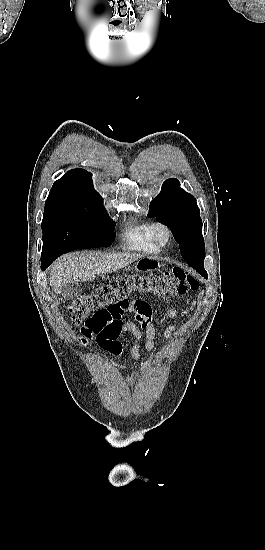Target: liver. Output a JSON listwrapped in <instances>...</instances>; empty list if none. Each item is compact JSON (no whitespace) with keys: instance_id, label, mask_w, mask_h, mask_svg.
Instances as JSON below:
<instances>
[{"instance_id":"obj_1","label":"liver","mask_w":265,"mask_h":550,"mask_svg":"<svg viewBox=\"0 0 265 550\" xmlns=\"http://www.w3.org/2000/svg\"><path fill=\"white\" fill-rule=\"evenodd\" d=\"M135 254H91L71 253L57 261L51 269L50 285L56 294H60L66 283L92 281L95 275L108 274L136 261Z\"/></svg>"}]
</instances>
